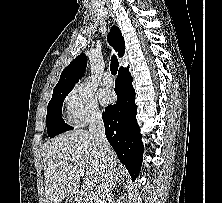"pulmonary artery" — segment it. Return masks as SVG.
<instances>
[{
    "instance_id": "obj_1",
    "label": "pulmonary artery",
    "mask_w": 222,
    "mask_h": 203,
    "mask_svg": "<svg viewBox=\"0 0 222 203\" xmlns=\"http://www.w3.org/2000/svg\"><path fill=\"white\" fill-rule=\"evenodd\" d=\"M112 82L113 81H112L111 74L109 72H105L101 79L102 85L111 86Z\"/></svg>"
}]
</instances>
